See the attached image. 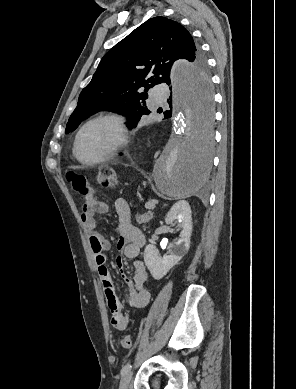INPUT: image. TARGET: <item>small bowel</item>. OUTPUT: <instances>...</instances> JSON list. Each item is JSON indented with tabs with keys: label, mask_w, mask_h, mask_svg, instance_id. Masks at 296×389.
I'll use <instances>...</instances> for the list:
<instances>
[{
	"label": "small bowel",
	"mask_w": 296,
	"mask_h": 389,
	"mask_svg": "<svg viewBox=\"0 0 296 389\" xmlns=\"http://www.w3.org/2000/svg\"><path fill=\"white\" fill-rule=\"evenodd\" d=\"M114 209L118 217L119 240L117 247L123 250L124 257H118L116 265L129 287L128 304L133 309L147 306L151 294L147 287V272L144 263L139 260L141 248L145 244L144 234L131 223V214L128 203L124 199L114 202ZM106 203L99 200L93 192L84 197L81 222L87 234L93 253L97 271L103 286L108 307L112 314L111 323L117 330H124L128 325V316L122 311L121 303L116 295L111 276L105 265V252L111 247L110 241L96 231V214L108 212ZM125 259L133 261L134 275L131 279L125 269Z\"/></svg>",
	"instance_id": "small-bowel-1"
}]
</instances>
